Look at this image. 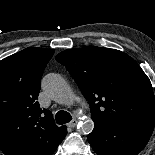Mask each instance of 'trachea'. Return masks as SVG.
<instances>
[{"label": "trachea", "mask_w": 155, "mask_h": 155, "mask_svg": "<svg viewBox=\"0 0 155 155\" xmlns=\"http://www.w3.org/2000/svg\"><path fill=\"white\" fill-rule=\"evenodd\" d=\"M71 119H72V116L66 111L61 110L56 113L57 124L68 123Z\"/></svg>", "instance_id": "obj_1"}]
</instances>
